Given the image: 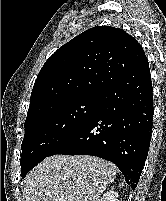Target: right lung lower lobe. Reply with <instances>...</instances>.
I'll use <instances>...</instances> for the list:
<instances>
[{
	"instance_id": "obj_1",
	"label": "right lung lower lobe",
	"mask_w": 166,
	"mask_h": 201,
	"mask_svg": "<svg viewBox=\"0 0 166 201\" xmlns=\"http://www.w3.org/2000/svg\"><path fill=\"white\" fill-rule=\"evenodd\" d=\"M152 89L148 59L144 56L100 95L95 111L49 156L92 155L109 160L135 189L150 145Z\"/></svg>"
}]
</instances>
